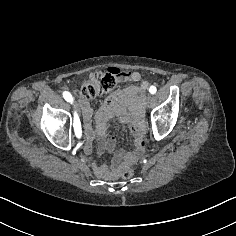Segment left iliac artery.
<instances>
[{
  "instance_id": "44dca946",
  "label": "left iliac artery",
  "mask_w": 236,
  "mask_h": 236,
  "mask_svg": "<svg viewBox=\"0 0 236 236\" xmlns=\"http://www.w3.org/2000/svg\"><path fill=\"white\" fill-rule=\"evenodd\" d=\"M156 91H157V89H156L155 86H151L150 89H149V92H150L151 94H155Z\"/></svg>"
}]
</instances>
